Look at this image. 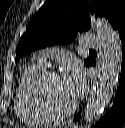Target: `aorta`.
<instances>
[{
    "instance_id": "obj_1",
    "label": "aorta",
    "mask_w": 125,
    "mask_h": 128,
    "mask_svg": "<svg viewBox=\"0 0 125 128\" xmlns=\"http://www.w3.org/2000/svg\"><path fill=\"white\" fill-rule=\"evenodd\" d=\"M92 27L99 36L96 78L84 110L85 126H90L103 113L118 84L121 69L122 48L119 35L103 19L92 21Z\"/></svg>"
}]
</instances>
